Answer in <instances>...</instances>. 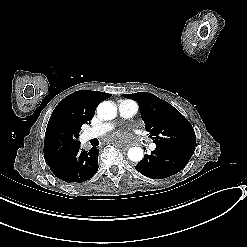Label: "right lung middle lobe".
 I'll return each mask as SVG.
<instances>
[{
  "mask_svg": "<svg viewBox=\"0 0 247 247\" xmlns=\"http://www.w3.org/2000/svg\"><path fill=\"white\" fill-rule=\"evenodd\" d=\"M77 142H79V141L76 139L75 141L74 140H69V141L57 143L47 153H45L44 156H50V155H53V154H58L60 152H63V151L67 150L68 148H70L72 145H74Z\"/></svg>",
  "mask_w": 247,
  "mask_h": 247,
  "instance_id": "dd1d6c3e",
  "label": "right lung middle lobe"
}]
</instances>
